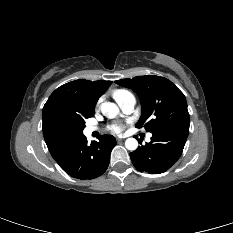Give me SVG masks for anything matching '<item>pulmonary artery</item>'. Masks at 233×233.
I'll list each match as a JSON object with an SVG mask.
<instances>
[{
  "label": "pulmonary artery",
  "instance_id": "1",
  "mask_svg": "<svg viewBox=\"0 0 233 233\" xmlns=\"http://www.w3.org/2000/svg\"><path fill=\"white\" fill-rule=\"evenodd\" d=\"M118 104L124 113L130 114L134 110L136 100H135L134 96H130V97H126V98L122 99L121 101L118 102ZM97 129L98 128L95 126H88V127H86L85 131L87 134H91L92 132L96 131ZM151 136H152L151 134H148L147 140H150Z\"/></svg>",
  "mask_w": 233,
  "mask_h": 233
}]
</instances>
